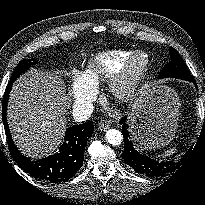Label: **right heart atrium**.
<instances>
[{
  "label": "right heart atrium",
  "instance_id": "obj_1",
  "mask_svg": "<svg viewBox=\"0 0 205 205\" xmlns=\"http://www.w3.org/2000/svg\"><path fill=\"white\" fill-rule=\"evenodd\" d=\"M71 92L75 104L89 101L95 93V88L82 82L78 73H74L71 82Z\"/></svg>",
  "mask_w": 205,
  "mask_h": 205
}]
</instances>
